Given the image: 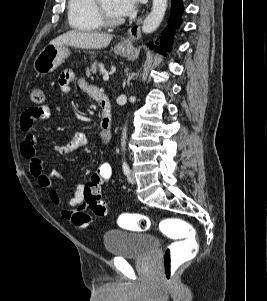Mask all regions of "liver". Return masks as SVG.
<instances>
[{"mask_svg": "<svg viewBox=\"0 0 267 301\" xmlns=\"http://www.w3.org/2000/svg\"><path fill=\"white\" fill-rule=\"evenodd\" d=\"M113 36L107 33L68 31L50 42L52 45H69L81 49H102L109 45Z\"/></svg>", "mask_w": 267, "mask_h": 301, "instance_id": "obj_1", "label": "liver"}]
</instances>
